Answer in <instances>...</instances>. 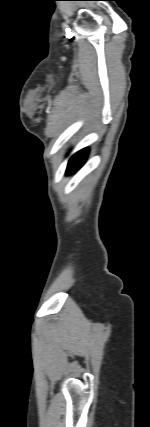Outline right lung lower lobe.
<instances>
[{"instance_id": "right-lung-lower-lobe-1", "label": "right lung lower lobe", "mask_w": 150, "mask_h": 427, "mask_svg": "<svg viewBox=\"0 0 150 427\" xmlns=\"http://www.w3.org/2000/svg\"><path fill=\"white\" fill-rule=\"evenodd\" d=\"M88 150L87 148L80 150L75 155H73L68 163L66 173H73L79 169L85 162L87 157Z\"/></svg>"}]
</instances>
